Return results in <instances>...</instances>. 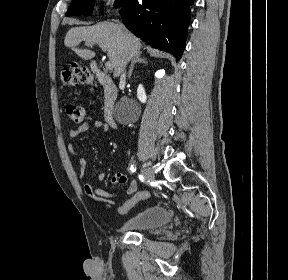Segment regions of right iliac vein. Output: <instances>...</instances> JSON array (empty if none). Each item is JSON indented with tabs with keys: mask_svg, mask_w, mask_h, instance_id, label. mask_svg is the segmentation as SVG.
Segmentation results:
<instances>
[{
	"mask_svg": "<svg viewBox=\"0 0 288 280\" xmlns=\"http://www.w3.org/2000/svg\"><path fill=\"white\" fill-rule=\"evenodd\" d=\"M142 173L147 179L149 180L154 179V173L149 168H143Z\"/></svg>",
	"mask_w": 288,
	"mask_h": 280,
	"instance_id": "63e3f726",
	"label": "right iliac vein"
}]
</instances>
